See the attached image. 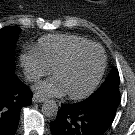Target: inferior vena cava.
<instances>
[{
	"label": "inferior vena cava",
	"mask_w": 135,
	"mask_h": 135,
	"mask_svg": "<svg viewBox=\"0 0 135 135\" xmlns=\"http://www.w3.org/2000/svg\"><path fill=\"white\" fill-rule=\"evenodd\" d=\"M37 79H39V76L36 75V74H32V75L29 76L30 81H36Z\"/></svg>",
	"instance_id": "obj_1"
}]
</instances>
